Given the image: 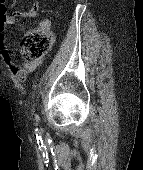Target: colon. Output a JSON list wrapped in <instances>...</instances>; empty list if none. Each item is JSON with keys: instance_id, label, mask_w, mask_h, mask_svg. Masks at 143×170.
<instances>
[{"instance_id": "colon-1", "label": "colon", "mask_w": 143, "mask_h": 170, "mask_svg": "<svg viewBox=\"0 0 143 170\" xmlns=\"http://www.w3.org/2000/svg\"><path fill=\"white\" fill-rule=\"evenodd\" d=\"M7 2V0H0V21L8 18ZM53 40V34L48 30L35 29L28 31L22 40V57L28 61L44 57L50 51Z\"/></svg>"}]
</instances>
